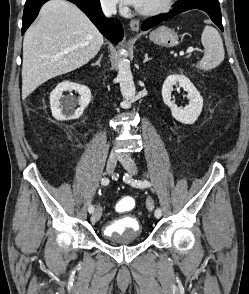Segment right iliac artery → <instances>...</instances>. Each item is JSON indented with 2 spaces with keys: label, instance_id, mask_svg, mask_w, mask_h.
<instances>
[{
  "label": "right iliac artery",
  "instance_id": "1",
  "mask_svg": "<svg viewBox=\"0 0 249 294\" xmlns=\"http://www.w3.org/2000/svg\"><path fill=\"white\" fill-rule=\"evenodd\" d=\"M101 184L102 185H108L109 184V179L104 177L101 179ZM88 211L89 213H93L94 212V206L93 205H89L88 207Z\"/></svg>",
  "mask_w": 249,
  "mask_h": 294
}]
</instances>
